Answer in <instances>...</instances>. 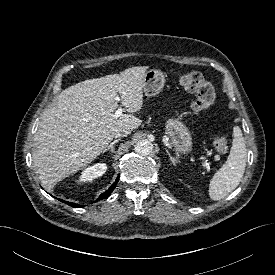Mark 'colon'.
Returning a JSON list of instances; mask_svg holds the SVG:
<instances>
[{
    "label": "colon",
    "instance_id": "obj_1",
    "mask_svg": "<svg viewBox=\"0 0 275 275\" xmlns=\"http://www.w3.org/2000/svg\"><path fill=\"white\" fill-rule=\"evenodd\" d=\"M178 82L182 89L195 94V100L192 103L194 111H205L214 103V89L199 72L181 74ZM212 145L217 152L224 153L228 148V140L223 135H217L213 138Z\"/></svg>",
    "mask_w": 275,
    "mask_h": 275
}]
</instances>
